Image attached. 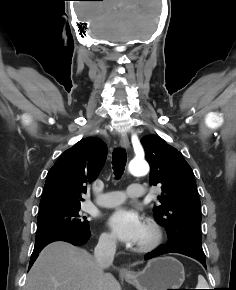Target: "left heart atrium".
Here are the masks:
<instances>
[{
  "mask_svg": "<svg viewBox=\"0 0 236 290\" xmlns=\"http://www.w3.org/2000/svg\"><path fill=\"white\" fill-rule=\"evenodd\" d=\"M107 224L114 235L125 243L139 242L144 226L139 215L127 208L116 209L108 218Z\"/></svg>",
  "mask_w": 236,
  "mask_h": 290,
  "instance_id": "left-heart-atrium-1",
  "label": "left heart atrium"
}]
</instances>
